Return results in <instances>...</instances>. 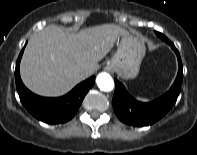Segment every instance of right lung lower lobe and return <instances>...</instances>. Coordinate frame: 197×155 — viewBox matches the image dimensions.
Instances as JSON below:
<instances>
[{"label":"right lung lower lobe","instance_id":"right-lung-lower-lobe-1","mask_svg":"<svg viewBox=\"0 0 197 155\" xmlns=\"http://www.w3.org/2000/svg\"><path fill=\"white\" fill-rule=\"evenodd\" d=\"M23 51L24 48L16 62L15 81L17 92L24 107L36 119L48 124L65 123L72 119L85 95L93 86L95 77L92 76L78 84L73 90L62 97L47 98L35 95L24 86L20 78L19 66Z\"/></svg>","mask_w":197,"mask_h":155}]
</instances>
